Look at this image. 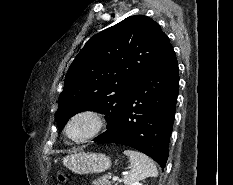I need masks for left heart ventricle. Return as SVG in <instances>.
I'll use <instances>...</instances> for the list:
<instances>
[{
  "label": "left heart ventricle",
  "instance_id": "obj_1",
  "mask_svg": "<svg viewBox=\"0 0 233 185\" xmlns=\"http://www.w3.org/2000/svg\"><path fill=\"white\" fill-rule=\"evenodd\" d=\"M94 127V122L89 117H80L74 120L70 126V136L80 139L89 134Z\"/></svg>",
  "mask_w": 233,
  "mask_h": 185
}]
</instances>
